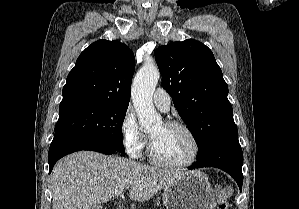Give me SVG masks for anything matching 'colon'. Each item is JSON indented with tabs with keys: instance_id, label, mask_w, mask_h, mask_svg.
<instances>
[{
	"instance_id": "5ec220e1",
	"label": "colon",
	"mask_w": 299,
	"mask_h": 209,
	"mask_svg": "<svg viewBox=\"0 0 299 209\" xmlns=\"http://www.w3.org/2000/svg\"><path fill=\"white\" fill-rule=\"evenodd\" d=\"M216 195L218 199V209H229L228 198L231 195V189L228 186H217Z\"/></svg>"
}]
</instances>
